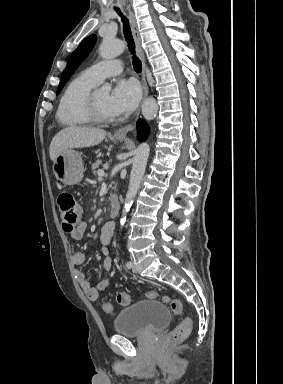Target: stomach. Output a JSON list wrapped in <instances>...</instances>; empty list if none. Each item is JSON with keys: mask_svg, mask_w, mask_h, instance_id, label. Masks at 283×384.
I'll return each mask as SVG.
<instances>
[{"mask_svg": "<svg viewBox=\"0 0 283 384\" xmlns=\"http://www.w3.org/2000/svg\"><path fill=\"white\" fill-rule=\"evenodd\" d=\"M115 140L124 142L126 138H115ZM52 168L55 178L64 186H74L83 178V160L80 152H75V150H66L63 154H58Z\"/></svg>", "mask_w": 283, "mask_h": 384, "instance_id": "0dacf381", "label": "stomach"}]
</instances>
